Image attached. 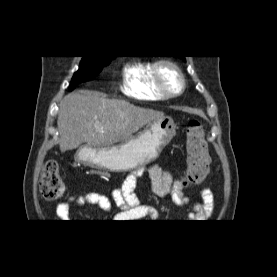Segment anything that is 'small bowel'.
Listing matches in <instances>:
<instances>
[{"label":"small bowel","instance_id":"c3829d8e","mask_svg":"<svg viewBox=\"0 0 277 277\" xmlns=\"http://www.w3.org/2000/svg\"><path fill=\"white\" fill-rule=\"evenodd\" d=\"M151 187L158 196H169L177 205H185L190 200L183 193L182 182L174 179L171 172L162 166L154 165L148 170ZM141 171L131 173L124 181L120 189L111 193V198L98 192L85 194H75L66 201L58 204L55 210L56 218L61 222H66L71 217V204L78 207L93 205L102 211L110 212L113 204L120 210L116 214L118 220L123 222H137L145 218L156 219L159 212L156 208L141 204L135 194L138 177ZM214 198L211 190L207 187L201 191V201L191 203V211L188 213L189 220H204L210 217L213 211Z\"/></svg>","mask_w":277,"mask_h":277}]
</instances>
